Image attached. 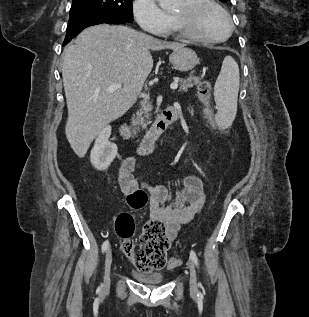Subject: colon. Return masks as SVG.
I'll use <instances>...</instances> for the list:
<instances>
[{
    "label": "colon",
    "mask_w": 309,
    "mask_h": 317,
    "mask_svg": "<svg viewBox=\"0 0 309 317\" xmlns=\"http://www.w3.org/2000/svg\"><path fill=\"white\" fill-rule=\"evenodd\" d=\"M211 86L208 81H203L198 87L199 99L203 105L204 115L211 122L212 111L210 108ZM148 201L145 191L136 190L129 194L127 203L134 210L142 209ZM115 231L122 241V249L131 263L141 272L161 270L168 264L176 266L179 260L174 258L168 263L167 251L170 240L166 234L165 225L151 219L143 227V231L136 244L132 238L135 232V224L132 216L128 213L120 214L115 222Z\"/></svg>",
    "instance_id": "colon-1"
}]
</instances>
